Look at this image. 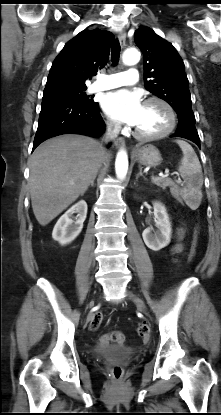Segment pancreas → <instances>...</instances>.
Instances as JSON below:
<instances>
[{"instance_id":"cf45deb5","label":"pancreas","mask_w":221,"mask_h":415,"mask_svg":"<svg viewBox=\"0 0 221 415\" xmlns=\"http://www.w3.org/2000/svg\"><path fill=\"white\" fill-rule=\"evenodd\" d=\"M152 182L163 189L169 185H172V181L168 178H154L152 179ZM171 194L176 198L178 196V192L175 189H171Z\"/></svg>"}]
</instances>
